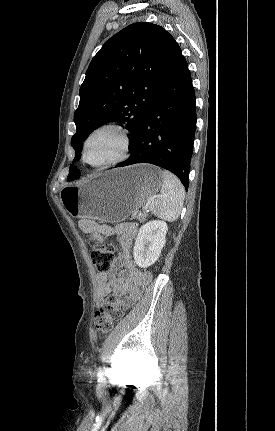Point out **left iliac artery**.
Segmentation results:
<instances>
[{
  "label": "left iliac artery",
  "instance_id": "44dca946",
  "mask_svg": "<svg viewBox=\"0 0 275 431\" xmlns=\"http://www.w3.org/2000/svg\"><path fill=\"white\" fill-rule=\"evenodd\" d=\"M97 375H98L99 378H102L103 374H102L101 369L98 370V374Z\"/></svg>",
  "mask_w": 275,
  "mask_h": 431
}]
</instances>
